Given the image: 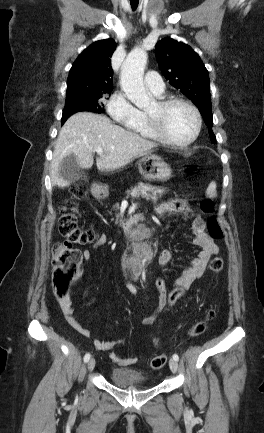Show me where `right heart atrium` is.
I'll return each mask as SVG.
<instances>
[{"instance_id":"right-heart-atrium-1","label":"right heart atrium","mask_w":264,"mask_h":433,"mask_svg":"<svg viewBox=\"0 0 264 433\" xmlns=\"http://www.w3.org/2000/svg\"><path fill=\"white\" fill-rule=\"evenodd\" d=\"M106 111L115 122L126 126L134 124L139 117V110L121 91L114 92L108 98Z\"/></svg>"}]
</instances>
